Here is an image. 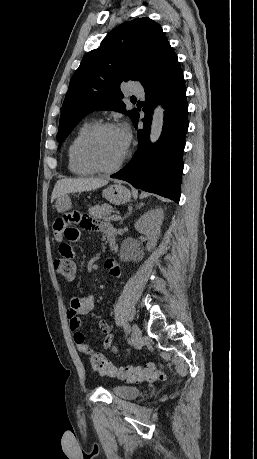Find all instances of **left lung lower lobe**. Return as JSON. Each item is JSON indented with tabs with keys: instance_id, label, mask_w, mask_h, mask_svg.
<instances>
[{
	"instance_id": "1",
	"label": "left lung lower lobe",
	"mask_w": 257,
	"mask_h": 459,
	"mask_svg": "<svg viewBox=\"0 0 257 459\" xmlns=\"http://www.w3.org/2000/svg\"><path fill=\"white\" fill-rule=\"evenodd\" d=\"M146 101L143 103L144 128L138 130V148L135 156L112 178L125 180L136 188L170 198L180 199L183 171L182 153L188 129L186 87L177 55L171 51L162 65L143 85ZM165 109L163 131L151 145L149 131L153 109L157 101ZM139 113L132 119L137 127Z\"/></svg>"
}]
</instances>
